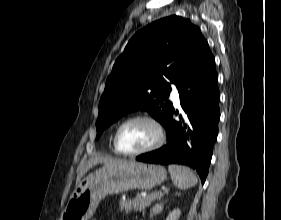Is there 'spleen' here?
Instances as JSON below:
<instances>
[{
  "instance_id": "1",
  "label": "spleen",
  "mask_w": 281,
  "mask_h": 220,
  "mask_svg": "<svg viewBox=\"0 0 281 220\" xmlns=\"http://www.w3.org/2000/svg\"><path fill=\"white\" fill-rule=\"evenodd\" d=\"M168 171L173 183L179 189H188L197 184L196 175L187 166L171 164L168 167Z\"/></svg>"
}]
</instances>
